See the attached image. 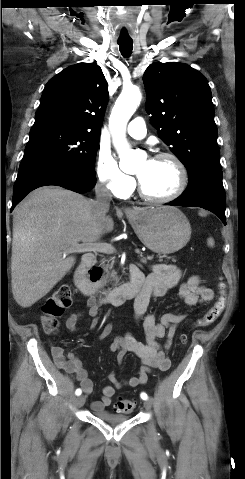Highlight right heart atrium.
I'll return each instance as SVG.
<instances>
[{
	"label": "right heart atrium",
	"instance_id": "d8ad5b80",
	"mask_svg": "<svg viewBox=\"0 0 245 479\" xmlns=\"http://www.w3.org/2000/svg\"><path fill=\"white\" fill-rule=\"evenodd\" d=\"M96 174L100 185L116 197L128 196L135 185L134 178L121 170L110 150L104 147L97 153Z\"/></svg>",
	"mask_w": 245,
	"mask_h": 479
}]
</instances>
